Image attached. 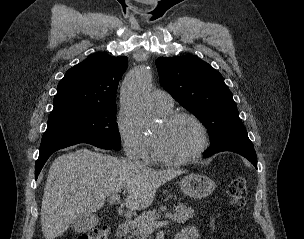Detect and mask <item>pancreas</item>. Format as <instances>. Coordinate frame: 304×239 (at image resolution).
Wrapping results in <instances>:
<instances>
[{"mask_svg": "<svg viewBox=\"0 0 304 239\" xmlns=\"http://www.w3.org/2000/svg\"><path fill=\"white\" fill-rule=\"evenodd\" d=\"M165 210V208H164ZM194 210L185 206L183 203H179L175 206L174 213H166L165 217L175 221L177 223H186L193 217ZM161 211H145L134 221L129 223L130 233L133 239H147L149 235V227L152 221H156L161 217Z\"/></svg>", "mask_w": 304, "mask_h": 239, "instance_id": "pancreas-1", "label": "pancreas"}]
</instances>
